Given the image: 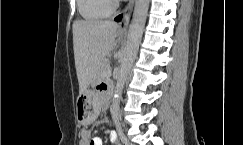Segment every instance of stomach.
I'll list each match as a JSON object with an SVG mask.
<instances>
[{
	"label": "stomach",
	"mask_w": 243,
	"mask_h": 145,
	"mask_svg": "<svg viewBox=\"0 0 243 145\" xmlns=\"http://www.w3.org/2000/svg\"><path fill=\"white\" fill-rule=\"evenodd\" d=\"M101 94L84 92L77 100V120L82 124L93 122L99 114Z\"/></svg>",
	"instance_id": "0dacf381"
}]
</instances>
